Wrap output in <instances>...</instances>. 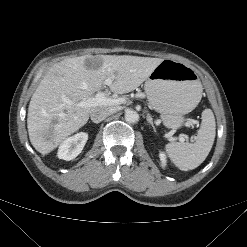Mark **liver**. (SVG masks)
Returning a JSON list of instances; mask_svg holds the SVG:
<instances>
[{"mask_svg":"<svg viewBox=\"0 0 247 247\" xmlns=\"http://www.w3.org/2000/svg\"><path fill=\"white\" fill-rule=\"evenodd\" d=\"M163 59L128 55H84L54 64L33 93L27 115L29 139L45 155L84 126L91 113L113 106L78 104L104 88L124 94L139 87ZM96 62V65H93Z\"/></svg>","mask_w":247,"mask_h":247,"instance_id":"liver-1","label":"liver"}]
</instances>
